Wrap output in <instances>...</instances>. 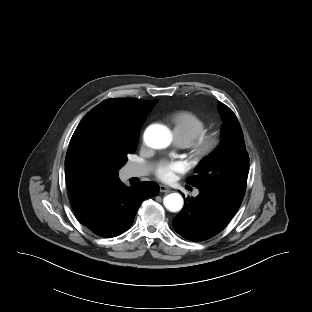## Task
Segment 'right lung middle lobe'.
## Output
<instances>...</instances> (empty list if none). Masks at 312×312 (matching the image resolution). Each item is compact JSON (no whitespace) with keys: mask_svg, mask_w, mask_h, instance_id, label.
<instances>
[{"mask_svg":"<svg viewBox=\"0 0 312 312\" xmlns=\"http://www.w3.org/2000/svg\"><path fill=\"white\" fill-rule=\"evenodd\" d=\"M141 125L131 136L102 126L89 129L75 149V164L87 173L117 172L128 160L127 155L135 152Z\"/></svg>","mask_w":312,"mask_h":312,"instance_id":"obj_1","label":"right lung middle lobe"}]
</instances>
